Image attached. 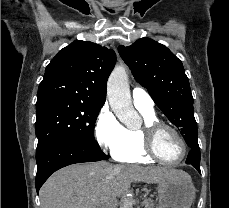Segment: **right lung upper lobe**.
Listing matches in <instances>:
<instances>
[{"instance_id": "obj_1", "label": "right lung upper lobe", "mask_w": 229, "mask_h": 208, "mask_svg": "<svg viewBox=\"0 0 229 208\" xmlns=\"http://www.w3.org/2000/svg\"><path fill=\"white\" fill-rule=\"evenodd\" d=\"M115 62L113 50L88 41H74L46 67L37 102L67 98L101 109L106 100L107 79Z\"/></svg>"}]
</instances>
